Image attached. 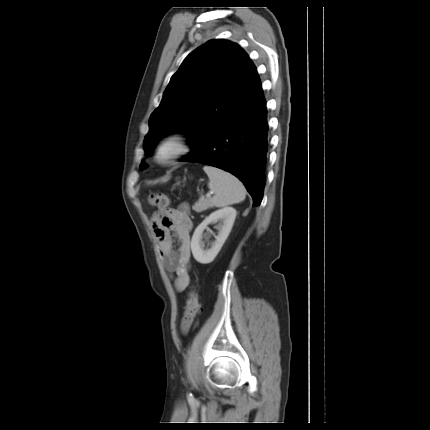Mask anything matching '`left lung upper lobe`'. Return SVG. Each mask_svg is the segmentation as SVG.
Wrapping results in <instances>:
<instances>
[{
  "instance_id": "1",
  "label": "left lung upper lobe",
  "mask_w": 430,
  "mask_h": 430,
  "mask_svg": "<svg viewBox=\"0 0 430 430\" xmlns=\"http://www.w3.org/2000/svg\"><path fill=\"white\" fill-rule=\"evenodd\" d=\"M260 85L255 65L237 44L212 40L190 53L172 76L152 113L144 140L148 154L169 133H184L191 145L199 129L221 121ZM146 167L144 160L140 170Z\"/></svg>"
}]
</instances>
